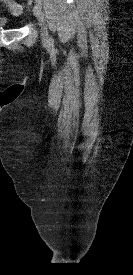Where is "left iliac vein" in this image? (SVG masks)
<instances>
[{
  "label": "left iliac vein",
  "instance_id": "obj_1",
  "mask_svg": "<svg viewBox=\"0 0 133 275\" xmlns=\"http://www.w3.org/2000/svg\"><path fill=\"white\" fill-rule=\"evenodd\" d=\"M33 14L34 16L38 19V21L41 23L42 26V39L44 42H49L50 37L48 35V30L44 24L43 20V13H42V8L40 5L35 4L33 7Z\"/></svg>",
  "mask_w": 133,
  "mask_h": 275
}]
</instances>
